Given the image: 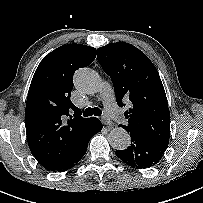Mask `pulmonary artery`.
Instances as JSON below:
<instances>
[{"instance_id":"1","label":"pulmonary artery","mask_w":203,"mask_h":203,"mask_svg":"<svg viewBox=\"0 0 203 203\" xmlns=\"http://www.w3.org/2000/svg\"><path fill=\"white\" fill-rule=\"evenodd\" d=\"M102 99L107 113L115 120L123 121V112L116 103L114 91L109 83L102 87Z\"/></svg>"}]
</instances>
